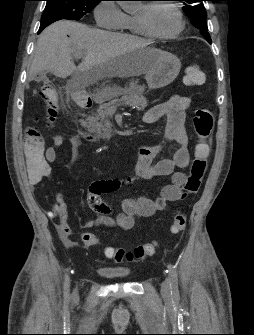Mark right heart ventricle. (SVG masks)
Here are the masks:
<instances>
[{
  "mask_svg": "<svg viewBox=\"0 0 254 335\" xmlns=\"http://www.w3.org/2000/svg\"><path fill=\"white\" fill-rule=\"evenodd\" d=\"M121 30H124L132 35L137 36H146V32L141 28L137 21L136 15H125L124 22L120 28Z\"/></svg>",
  "mask_w": 254,
  "mask_h": 335,
  "instance_id": "1",
  "label": "right heart ventricle"
}]
</instances>
